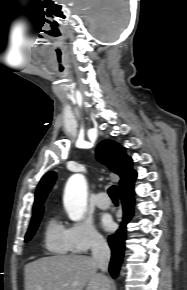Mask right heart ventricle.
Here are the masks:
<instances>
[{"instance_id": "e07e8e85", "label": "right heart ventricle", "mask_w": 187, "mask_h": 290, "mask_svg": "<svg viewBox=\"0 0 187 290\" xmlns=\"http://www.w3.org/2000/svg\"><path fill=\"white\" fill-rule=\"evenodd\" d=\"M46 249L57 255H66L71 251L67 237V229L56 218H51L45 229Z\"/></svg>"}]
</instances>
